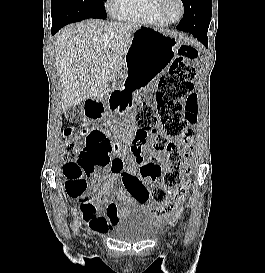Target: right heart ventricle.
Listing matches in <instances>:
<instances>
[{
  "label": "right heart ventricle",
  "mask_w": 265,
  "mask_h": 273,
  "mask_svg": "<svg viewBox=\"0 0 265 273\" xmlns=\"http://www.w3.org/2000/svg\"><path fill=\"white\" fill-rule=\"evenodd\" d=\"M157 2L158 0H121L116 15L122 20L166 27L169 23L158 14Z\"/></svg>",
  "instance_id": "e07e8e85"
}]
</instances>
